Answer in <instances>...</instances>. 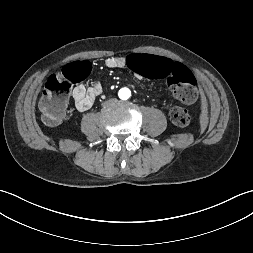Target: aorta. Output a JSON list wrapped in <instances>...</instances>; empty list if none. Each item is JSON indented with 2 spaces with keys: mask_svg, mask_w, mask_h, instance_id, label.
<instances>
[{
  "mask_svg": "<svg viewBox=\"0 0 253 253\" xmlns=\"http://www.w3.org/2000/svg\"><path fill=\"white\" fill-rule=\"evenodd\" d=\"M131 93H130V90L127 89V88H123L120 90L119 92V97L123 100H126L130 97Z\"/></svg>",
  "mask_w": 253,
  "mask_h": 253,
  "instance_id": "762f6f07",
  "label": "aorta"
}]
</instances>
